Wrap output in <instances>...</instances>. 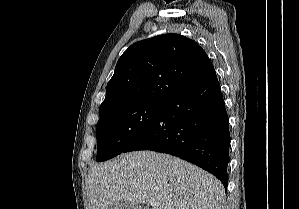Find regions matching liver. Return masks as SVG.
<instances>
[{
	"label": "liver",
	"mask_w": 299,
	"mask_h": 209,
	"mask_svg": "<svg viewBox=\"0 0 299 209\" xmlns=\"http://www.w3.org/2000/svg\"><path fill=\"white\" fill-rule=\"evenodd\" d=\"M87 181L89 209H104L122 199L134 205L154 200L152 209L224 208L225 191L217 178L168 154H122L92 165Z\"/></svg>",
	"instance_id": "1"
}]
</instances>
